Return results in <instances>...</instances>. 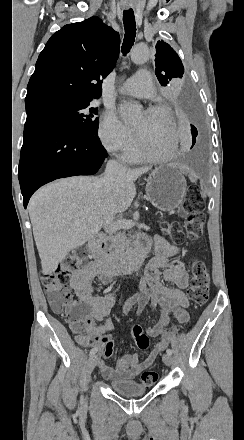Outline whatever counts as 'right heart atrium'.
<instances>
[{"label":"right heart atrium","mask_w":244,"mask_h":440,"mask_svg":"<svg viewBox=\"0 0 244 440\" xmlns=\"http://www.w3.org/2000/svg\"><path fill=\"white\" fill-rule=\"evenodd\" d=\"M98 136L110 153L132 150L139 138L136 129L124 124L112 110H106L103 113Z\"/></svg>","instance_id":"d8ad5b80"}]
</instances>
